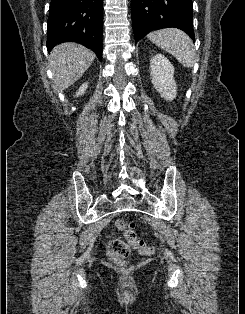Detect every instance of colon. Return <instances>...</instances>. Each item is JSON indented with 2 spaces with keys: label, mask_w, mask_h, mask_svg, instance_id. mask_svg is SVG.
<instances>
[{
  "label": "colon",
  "mask_w": 245,
  "mask_h": 314,
  "mask_svg": "<svg viewBox=\"0 0 245 314\" xmlns=\"http://www.w3.org/2000/svg\"><path fill=\"white\" fill-rule=\"evenodd\" d=\"M116 226L120 231L124 232L126 241L115 239L109 243L107 254L110 259L117 262L127 259L131 255V248L136 249L144 255H152L155 253L153 246L137 238L134 231L135 224L133 222L120 218L117 220Z\"/></svg>",
  "instance_id": "obj_1"
}]
</instances>
